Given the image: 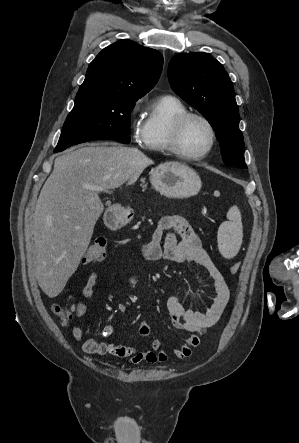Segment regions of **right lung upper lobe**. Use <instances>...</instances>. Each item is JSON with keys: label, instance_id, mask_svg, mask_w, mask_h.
Masks as SVG:
<instances>
[{"label": "right lung upper lobe", "instance_id": "cb5924a9", "mask_svg": "<svg viewBox=\"0 0 299 443\" xmlns=\"http://www.w3.org/2000/svg\"><path fill=\"white\" fill-rule=\"evenodd\" d=\"M162 55L131 40L104 48L90 63L78 93H102L138 100L157 83Z\"/></svg>", "mask_w": 299, "mask_h": 443}]
</instances>
